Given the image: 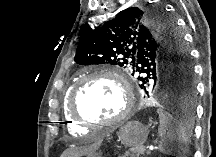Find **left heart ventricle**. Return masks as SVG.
Listing matches in <instances>:
<instances>
[{"mask_svg": "<svg viewBox=\"0 0 216 157\" xmlns=\"http://www.w3.org/2000/svg\"><path fill=\"white\" fill-rule=\"evenodd\" d=\"M76 106L85 118L106 121L120 114L124 100L121 89L115 81L97 77L81 87Z\"/></svg>", "mask_w": 216, "mask_h": 157, "instance_id": "1", "label": "left heart ventricle"}]
</instances>
